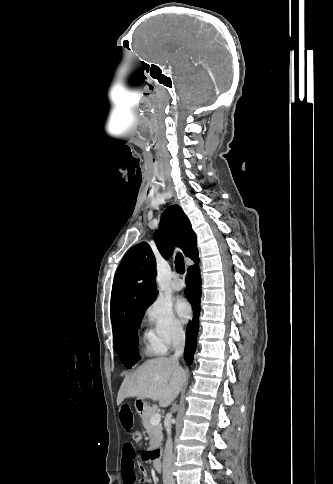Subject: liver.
<instances>
[{"instance_id":"liver-1","label":"liver","mask_w":333,"mask_h":484,"mask_svg":"<svg viewBox=\"0 0 333 484\" xmlns=\"http://www.w3.org/2000/svg\"><path fill=\"white\" fill-rule=\"evenodd\" d=\"M185 379V370L178 360L166 357L147 360L124 378L117 405L126 398L136 397L158 401L161 407H167L180 393Z\"/></svg>"}]
</instances>
